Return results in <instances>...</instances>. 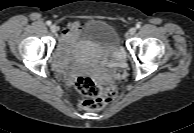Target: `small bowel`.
<instances>
[{
    "instance_id": "obj_1",
    "label": "small bowel",
    "mask_w": 194,
    "mask_h": 133,
    "mask_svg": "<svg viewBox=\"0 0 194 133\" xmlns=\"http://www.w3.org/2000/svg\"><path fill=\"white\" fill-rule=\"evenodd\" d=\"M82 25L78 22L70 23L66 26L62 33L61 42H60V49L55 61L56 66L62 70L63 66L67 62V56L69 48L74 41L75 37L77 36L78 32L81 30ZM68 78H70L68 76Z\"/></svg>"
}]
</instances>
